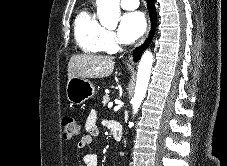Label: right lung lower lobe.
I'll return each mask as SVG.
<instances>
[{
	"label": "right lung lower lobe",
	"mask_w": 227,
	"mask_h": 166,
	"mask_svg": "<svg viewBox=\"0 0 227 166\" xmlns=\"http://www.w3.org/2000/svg\"><path fill=\"white\" fill-rule=\"evenodd\" d=\"M148 7H149V14H150V18H151V23H152V29L150 32V37L149 39L139 48H137L134 51V60H139V58L142 55L143 50L146 48V46L150 43L154 32H155V26H156V11H155V7H154V2L153 0H148Z\"/></svg>",
	"instance_id": "1"
}]
</instances>
